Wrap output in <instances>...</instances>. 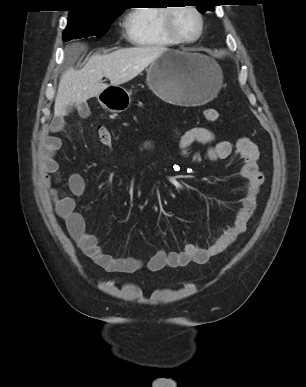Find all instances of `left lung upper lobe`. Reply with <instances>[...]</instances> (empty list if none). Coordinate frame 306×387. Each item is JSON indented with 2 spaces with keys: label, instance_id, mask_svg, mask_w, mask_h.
<instances>
[{
  "label": "left lung upper lobe",
  "instance_id": "5c2ea615",
  "mask_svg": "<svg viewBox=\"0 0 306 387\" xmlns=\"http://www.w3.org/2000/svg\"><path fill=\"white\" fill-rule=\"evenodd\" d=\"M197 10L204 14L206 11H214V6L217 5L218 0H193Z\"/></svg>",
  "mask_w": 306,
  "mask_h": 387
}]
</instances>
